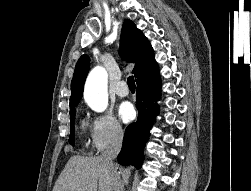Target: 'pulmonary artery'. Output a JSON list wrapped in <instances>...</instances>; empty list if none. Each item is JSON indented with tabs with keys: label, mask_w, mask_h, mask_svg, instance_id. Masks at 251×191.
<instances>
[{
	"label": "pulmonary artery",
	"mask_w": 251,
	"mask_h": 191,
	"mask_svg": "<svg viewBox=\"0 0 251 191\" xmlns=\"http://www.w3.org/2000/svg\"><path fill=\"white\" fill-rule=\"evenodd\" d=\"M115 93L118 96L125 97L129 94V88L124 81H120L115 87Z\"/></svg>",
	"instance_id": "pulmonary-artery-1"
}]
</instances>
